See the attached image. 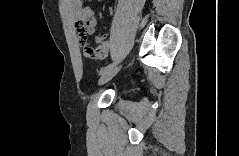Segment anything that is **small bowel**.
Returning <instances> with one entry per match:
<instances>
[{"instance_id":"1","label":"small bowel","mask_w":239,"mask_h":156,"mask_svg":"<svg viewBox=\"0 0 239 156\" xmlns=\"http://www.w3.org/2000/svg\"><path fill=\"white\" fill-rule=\"evenodd\" d=\"M68 10L74 19L75 26L79 23H86L88 33H93L95 30V18L93 10L90 8H84L82 3L78 0L70 1ZM78 34V32H77ZM79 43L83 46L86 55L90 58L101 59L104 58L109 50V44L101 39H97L99 45L97 48H93V52L86 51L87 44L82 42L80 35L78 34Z\"/></svg>"}]
</instances>
